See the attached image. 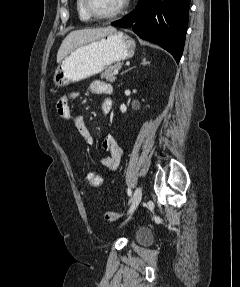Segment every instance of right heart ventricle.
Masks as SVG:
<instances>
[{
  "label": "right heart ventricle",
  "mask_w": 240,
  "mask_h": 287,
  "mask_svg": "<svg viewBox=\"0 0 240 287\" xmlns=\"http://www.w3.org/2000/svg\"><path fill=\"white\" fill-rule=\"evenodd\" d=\"M76 10L81 21L88 22L93 19L85 9L84 0H76Z\"/></svg>",
  "instance_id": "1"
}]
</instances>
